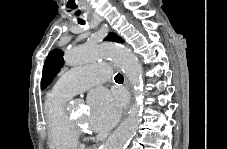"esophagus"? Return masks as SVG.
<instances>
[{
	"label": "esophagus",
	"instance_id": "esophagus-1",
	"mask_svg": "<svg viewBox=\"0 0 227 149\" xmlns=\"http://www.w3.org/2000/svg\"><path fill=\"white\" fill-rule=\"evenodd\" d=\"M125 84L127 86V88L129 89L130 93L132 94V88L128 82V80L125 78ZM127 116H129V111H123V114H121V119H126Z\"/></svg>",
	"mask_w": 227,
	"mask_h": 149
}]
</instances>
